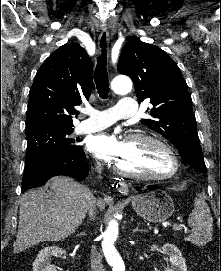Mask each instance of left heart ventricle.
<instances>
[{
    "mask_svg": "<svg viewBox=\"0 0 221 271\" xmlns=\"http://www.w3.org/2000/svg\"><path fill=\"white\" fill-rule=\"evenodd\" d=\"M136 144H141V149H132L133 156H127L126 160L120 161V167L127 165V168L121 171L122 175L137 174V171H133V168H138V171L144 169H172V166H165V161H162V156H166L164 152H154L153 149H146V144H152L151 141H155L149 137H140L136 139ZM159 173V172H157Z\"/></svg>",
    "mask_w": 221,
    "mask_h": 271,
    "instance_id": "1",
    "label": "left heart ventricle"
}]
</instances>
